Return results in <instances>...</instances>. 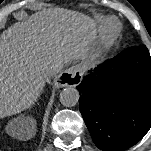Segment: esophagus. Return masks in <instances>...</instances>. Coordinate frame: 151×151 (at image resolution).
Returning <instances> with one entry per match:
<instances>
[{"mask_svg":"<svg viewBox=\"0 0 151 151\" xmlns=\"http://www.w3.org/2000/svg\"><path fill=\"white\" fill-rule=\"evenodd\" d=\"M82 81V72L79 66H71L58 75L54 81L55 88L75 87Z\"/></svg>","mask_w":151,"mask_h":151,"instance_id":"34e87169","label":"esophagus"}]
</instances>
